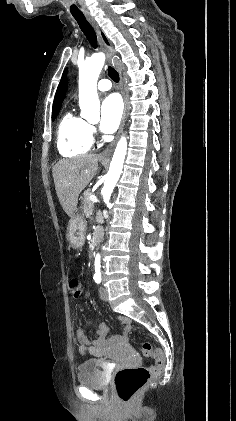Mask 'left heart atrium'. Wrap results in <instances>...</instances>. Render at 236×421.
Segmentation results:
<instances>
[{
  "mask_svg": "<svg viewBox=\"0 0 236 421\" xmlns=\"http://www.w3.org/2000/svg\"><path fill=\"white\" fill-rule=\"evenodd\" d=\"M122 105L117 95L110 94L102 102L100 129L104 133L114 132L121 121Z\"/></svg>",
  "mask_w": 236,
  "mask_h": 421,
  "instance_id": "1",
  "label": "left heart atrium"
}]
</instances>
